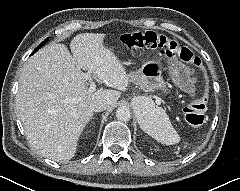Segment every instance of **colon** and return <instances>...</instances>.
Segmentation results:
<instances>
[{
    "label": "colon",
    "mask_w": 240,
    "mask_h": 191,
    "mask_svg": "<svg viewBox=\"0 0 240 191\" xmlns=\"http://www.w3.org/2000/svg\"><path fill=\"white\" fill-rule=\"evenodd\" d=\"M121 42L129 49L158 48L166 56L178 55L179 58L194 66L202 72L204 78L201 96L195 99L185 108L186 120L194 126H199L205 121L206 103L208 97V83L203 71L201 60L188 48L182 46L178 41L155 31L133 32L125 34Z\"/></svg>",
    "instance_id": "1"
}]
</instances>
